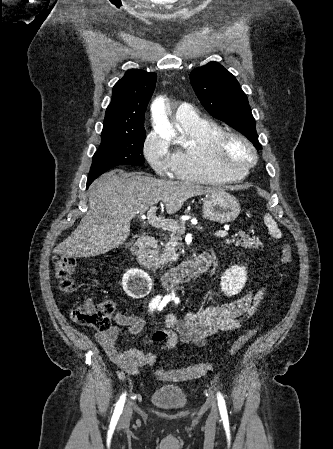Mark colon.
Instances as JSON below:
<instances>
[{
	"label": "colon",
	"mask_w": 333,
	"mask_h": 449,
	"mask_svg": "<svg viewBox=\"0 0 333 449\" xmlns=\"http://www.w3.org/2000/svg\"><path fill=\"white\" fill-rule=\"evenodd\" d=\"M279 255L283 264H289L293 258L290 245L286 243L281 244ZM52 264L55 276L60 280V288L63 291L73 290L75 284L72 275L76 267L75 259L68 255L58 254L53 257ZM113 313L114 303L112 301L94 302L91 299H87L82 304L74 307L72 319L78 324L90 326L97 331H106L111 327ZM252 334L253 330L242 334L232 345L229 354L234 355L239 352ZM211 368L210 364L202 363L181 369H156L155 375L169 381H187L207 375Z\"/></svg>",
	"instance_id": "colon-1"
}]
</instances>
